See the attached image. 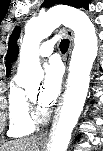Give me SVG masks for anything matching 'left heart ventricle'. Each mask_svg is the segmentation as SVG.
<instances>
[{"label": "left heart ventricle", "mask_w": 103, "mask_h": 151, "mask_svg": "<svg viewBox=\"0 0 103 151\" xmlns=\"http://www.w3.org/2000/svg\"><path fill=\"white\" fill-rule=\"evenodd\" d=\"M30 95L33 96L34 98H36L37 93H38V89L34 88L32 90L29 91Z\"/></svg>", "instance_id": "left-heart-ventricle-1"}]
</instances>
